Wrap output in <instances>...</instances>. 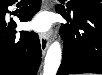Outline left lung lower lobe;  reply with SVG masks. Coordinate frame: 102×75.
<instances>
[{
	"instance_id": "obj_1",
	"label": "left lung lower lobe",
	"mask_w": 102,
	"mask_h": 75,
	"mask_svg": "<svg viewBox=\"0 0 102 75\" xmlns=\"http://www.w3.org/2000/svg\"><path fill=\"white\" fill-rule=\"evenodd\" d=\"M57 12L71 23L61 25L64 48L57 75L102 74V12Z\"/></svg>"
}]
</instances>
